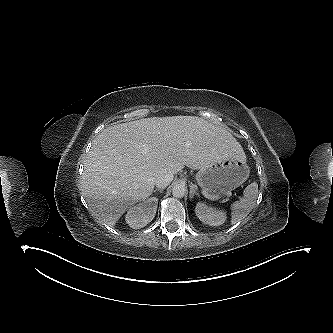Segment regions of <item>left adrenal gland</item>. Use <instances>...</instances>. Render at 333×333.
Here are the masks:
<instances>
[{
    "mask_svg": "<svg viewBox=\"0 0 333 333\" xmlns=\"http://www.w3.org/2000/svg\"><path fill=\"white\" fill-rule=\"evenodd\" d=\"M194 195H197L198 197H200L199 193L196 192V190L194 189V187L190 188V194H189V198L193 199Z\"/></svg>",
    "mask_w": 333,
    "mask_h": 333,
    "instance_id": "left-adrenal-gland-1",
    "label": "left adrenal gland"
}]
</instances>
